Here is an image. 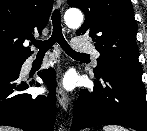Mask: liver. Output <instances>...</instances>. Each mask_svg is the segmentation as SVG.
I'll use <instances>...</instances> for the list:
<instances>
[{
	"label": "liver",
	"mask_w": 147,
	"mask_h": 131,
	"mask_svg": "<svg viewBox=\"0 0 147 131\" xmlns=\"http://www.w3.org/2000/svg\"><path fill=\"white\" fill-rule=\"evenodd\" d=\"M0 131H17V130L16 129H13V128L1 127L0 126Z\"/></svg>",
	"instance_id": "6515ba94"
}]
</instances>
